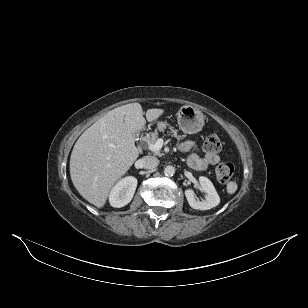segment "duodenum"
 <instances>
[{
  "label": "duodenum",
  "instance_id": "1",
  "mask_svg": "<svg viewBox=\"0 0 308 308\" xmlns=\"http://www.w3.org/2000/svg\"><path fill=\"white\" fill-rule=\"evenodd\" d=\"M144 133V129L140 131V135H142Z\"/></svg>",
  "mask_w": 308,
  "mask_h": 308
}]
</instances>
